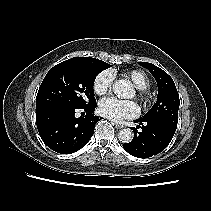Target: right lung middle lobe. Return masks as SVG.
Masks as SVG:
<instances>
[{"instance_id": "1", "label": "right lung middle lobe", "mask_w": 211, "mask_h": 211, "mask_svg": "<svg viewBox=\"0 0 211 211\" xmlns=\"http://www.w3.org/2000/svg\"><path fill=\"white\" fill-rule=\"evenodd\" d=\"M111 67L91 57H74L52 67L36 97V107L58 105L83 108L96 103L93 85L96 76Z\"/></svg>"}]
</instances>
